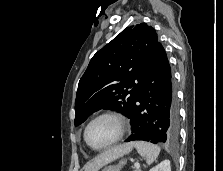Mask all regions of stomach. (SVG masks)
<instances>
[{"label":"stomach","instance_id":"0dacf381","mask_svg":"<svg viewBox=\"0 0 223 171\" xmlns=\"http://www.w3.org/2000/svg\"><path fill=\"white\" fill-rule=\"evenodd\" d=\"M125 164L126 160L122 159L117 165L107 166L102 171H120Z\"/></svg>","mask_w":223,"mask_h":171}]
</instances>
